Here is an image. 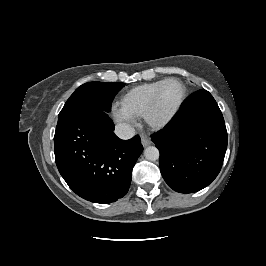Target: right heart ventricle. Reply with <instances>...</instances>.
Segmentation results:
<instances>
[{"instance_id": "obj_1", "label": "right heart ventricle", "mask_w": 266, "mask_h": 266, "mask_svg": "<svg viewBox=\"0 0 266 266\" xmlns=\"http://www.w3.org/2000/svg\"><path fill=\"white\" fill-rule=\"evenodd\" d=\"M164 80L145 83L130 89L122 97V107L133 116L143 117L154 92Z\"/></svg>"}]
</instances>
